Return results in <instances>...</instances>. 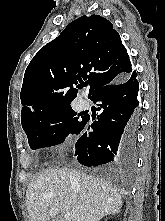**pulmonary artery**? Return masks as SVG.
Segmentation results:
<instances>
[{
	"mask_svg": "<svg viewBox=\"0 0 165 221\" xmlns=\"http://www.w3.org/2000/svg\"><path fill=\"white\" fill-rule=\"evenodd\" d=\"M89 105H90L89 102L87 100H85V99H82L79 102V106L83 110L87 109L89 107Z\"/></svg>",
	"mask_w": 165,
	"mask_h": 221,
	"instance_id": "e3ab8cb5",
	"label": "pulmonary artery"
}]
</instances>
